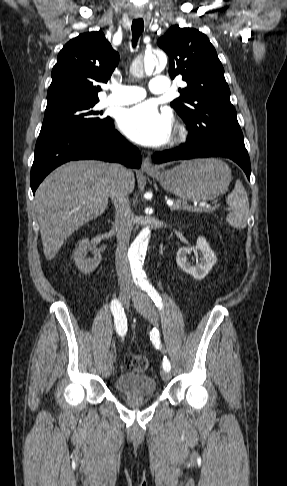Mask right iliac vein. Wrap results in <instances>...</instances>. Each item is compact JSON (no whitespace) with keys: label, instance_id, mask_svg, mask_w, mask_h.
Listing matches in <instances>:
<instances>
[{"label":"right iliac vein","instance_id":"63e3f726","mask_svg":"<svg viewBox=\"0 0 287 486\" xmlns=\"http://www.w3.org/2000/svg\"><path fill=\"white\" fill-rule=\"evenodd\" d=\"M131 295L132 293L128 290H122L120 292V295H119V298H120V301L121 303L127 307L129 305V301H130V298H131ZM112 358H111V354H109L105 361H104V364H103V368H102V374L104 377L108 378L111 373H112Z\"/></svg>","mask_w":287,"mask_h":486}]
</instances>
